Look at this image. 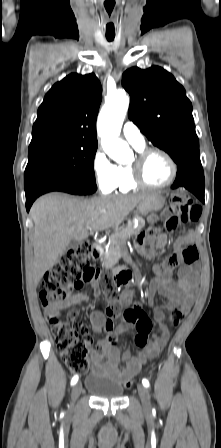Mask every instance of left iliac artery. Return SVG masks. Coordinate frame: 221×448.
<instances>
[{"instance_id": "1", "label": "left iliac artery", "mask_w": 221, "mask_h": 448, "mask_svg": "<svg viewBox=\"0 0 221 448\" xmlns=\"http://www.w3.org/2000/svg\"><path fill=\"white\" fill-rule=\"evenodd\" d=\"M142 384L145 386V387H149V381L147 380V379H143L142 380Z\"/></svg>"}]
</instances>
